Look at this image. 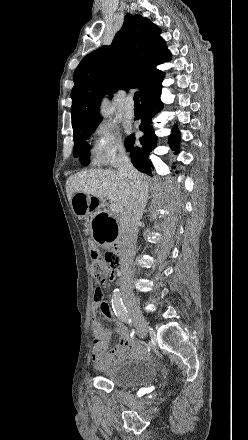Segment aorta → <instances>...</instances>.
I'll list each match as a JSON object with an SVG mask.
<instances>
[{"label":"aorta","instance_id":"obj_1","mask_svg":"<svg viewBox=\"0 0 248 440\" xmlns=\"http://www.w3.org/2000/svg\"><path fill=\"white\" fill-rule=\"evenodd\" d=\"M101 112L104 116H108L110 113L109 108L107 106H103Z\"/></svg>","mask_w":248,"mask_h":440}]
</instances>
